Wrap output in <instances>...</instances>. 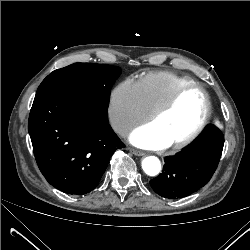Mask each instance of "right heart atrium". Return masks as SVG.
<instances>
[{
  "mask_svg": "<svg viewBox=\"0 0 250 250\" xmlns=\"http://www.w3.org/2000/svg\"><path fill=\"white\" fill-rule=\"evenodd\" d=\"M138 87L131 79L118 83L110 92L108 116L112 129L125 135L150 117Z\"/></svg>",
  "mask_w": 250,
  "mask_h": 250,
  "instance_id": "d8ad5b80",
  "label": "right heart atrium"
}]
</instances>
